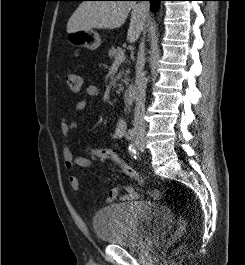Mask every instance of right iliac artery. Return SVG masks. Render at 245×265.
Here are the masks:
<instances>
[{
	"instance_id": "obj_1",
	"label": "right iliac artery",
	"mask_w": 245,
	"mask_h": 265,
	"mask_svg": "<svg viewBox=\"0 0 245 265\" xmlns=\"http://www.w3.org/2000/svg\"><path fill=\"white\" fill-rule=\"evenodd\" d=\"M134 131L132 130H129L127 133H126V139L127 140H131L133 137H134Z\"/></svg>"
}]
</instances>
